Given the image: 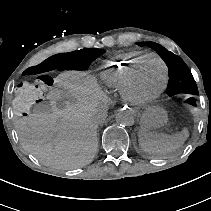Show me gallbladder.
Masks as SVG:
<instances>
[{
  "instance_id": "bac80fb5",
  "label": "gallbladder",
  "mask_w": 211,
  "mask_h": 211,
  "mask_svg": "<svg viewBox=\"0 0 211 211\" xmlns=\"http://www.w3.org/2000/svg\"><path fill=\"white\" fill-rule=\"evenodd\" d=\"M58 107H60V108H62V107H63L62 102H58Z\"/></svg>"
}]
</instances>
